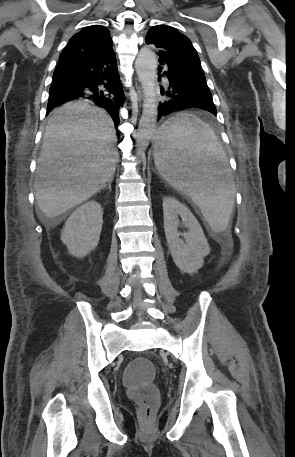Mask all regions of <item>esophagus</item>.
<instances>
[{
    "instance_id": "obj_1",
    "label": "esophagus",
    "mask_w": 295,
    "mask_h": 457,
    "mask_svg": "<svg viewBox=\"0 0 295 457\" xmlns=\"http://www.w3.org/2000/svg\"><path fill=\"white\" fill-rule=\"evenodd\" d=\"M138 94H139V97H141V91H140V89L138 90Z\"/></svg>"
}]
</instances>
